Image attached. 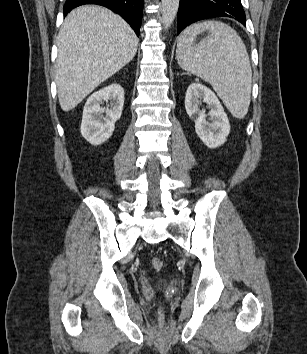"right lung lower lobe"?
Returning a JSON list of instances; mask_svg holds the SVG:
<instances>
[{
    "label": "right lung lower lobe",
    "instance_id": "obj_1",
    "mask_svg": "<svg viewBox=\"0 0 307 354\" xmlns=\"http://www.w3.org/2000/svg\"><path fill=\"white\" fill-rule=\"evenodd\" d=\"M83 4H98L111 9L127 21L137 36H139L143 0H66L64 16L73 8Z\"/></svg>",
    "mask_w": 307,
    "mask_h": 354
}]
</instances>
